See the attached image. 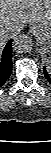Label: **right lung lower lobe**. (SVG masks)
I'll return each mask as SVG.
<instances>
[{"instance_id":"right-lung-lower-lobe-1","label":"right lung lower lobe","mask_w":51,"mask_h":153,"mask_svg":"<svg viewBox=\"0 0 51 153\" xmlns=\"http://www.w3.org/2000/svg\"><path fill=\"white\" fill-rule=\"evenodd\" d=\"M12 72V40L0 50V87L7 81Z\"/></svg>"}]
</instances>
